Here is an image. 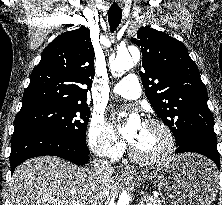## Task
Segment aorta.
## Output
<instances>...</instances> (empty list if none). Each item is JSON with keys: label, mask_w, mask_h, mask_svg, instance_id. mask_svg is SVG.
Segmentation results:
<instances>
[{"label": "aorta", "mask_w": 222, "mask_h": 205, "mask_svg": "<svg viewBox=\"0 0 222 205\" xmlns=\"http://www.w3.org/2000/svg\"><path fill=\"white\" fill-rule=\"evenodd\" d=\"M134 66L133 59L128 50H120L117 52L116 56L112 57L110 60V67L114 76H120L124 74L127 70ZM132 195L131 188H125L120 193L117 205H129L130 198ZM114 204V203H113ZM112 205V202L110 203Z\"/></svg>", "instance_id": "aorta-1"}]
</instances>
